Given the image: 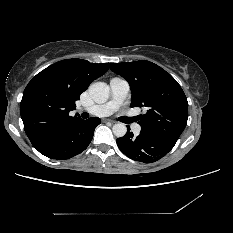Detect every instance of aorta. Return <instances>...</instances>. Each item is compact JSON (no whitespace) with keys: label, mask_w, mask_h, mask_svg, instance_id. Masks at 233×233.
<instances>
[{"label":"aorta","mask_w":233,"mask_h":233,"mask_svg":"<svg viewBox=\"0 0 233 233\" xmlns=\"http://www.w3.org/2000/svg\"><path fill=\"white\" fill-rule=\"evenodd\" d=\"M88 92L96 103H104L109 97V86L104 82H95L89 86ZM112 130L115 136L123 137L127 132V127L123 123H118L113 126Z\"/></svg>","instance_id":"obj_1"}]
</instances>
